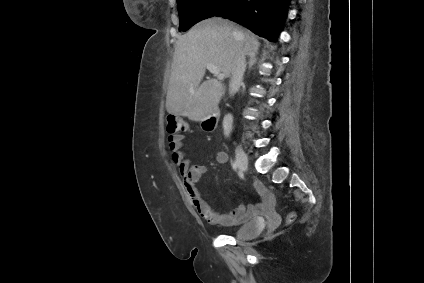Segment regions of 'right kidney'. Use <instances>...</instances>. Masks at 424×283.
<instances>
[{
  "mask_svg": "<svg viewBox=\"0 0 424 283\" xmlns=\"http://www.w3.org/2000/svg\"><path fill=\"white\" fill-rule=\"evenodd\" d=\"M232 116L231 115H225L223 119V129H224V135L229 136L230 131L232 129Z\"/></svg>",
  "mask_w": 424,
  "mask_h": 283,
  "instance_id": "ca27d5eb",
  "label": "right kidney"
}]
</instances>
